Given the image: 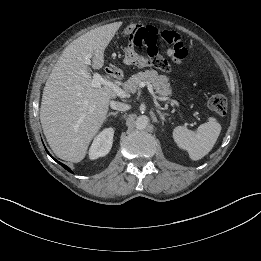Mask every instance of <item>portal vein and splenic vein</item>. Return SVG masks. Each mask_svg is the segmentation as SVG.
Returning <instances> with one entry per match:
<instances>
[{
  "label": "portal vein and splenic vein",
  "instance_id": "1",
  "mask_svg": "<svg viewBox=\"0 0 261 261\" xmlns=\"http://www.w3.org/2000/svg\"><path fill=\"white\" fill-rule=\"evenodd\" d=\"M91 54H88L86 57H85V63L87 65H90L91 64ZM91 85L92 87L94 88H99L101 87V85H105V86H108L117 96L121 97V98H126L128 97V94L123 90L121 89L120 87H118L116 84H114L113 82L103 78L99 73H94L93 74V79H92V82H91ZM147 86L148 87V90L149 92L151 93V95L153 96L154 99H159V100H162V101H165L167 100L168 98L166 97H158L155 95V92L153 91V88H152V85L148 82H141L140 83V87H144V86Z\"/></svg>",
  "mask_w": 261,
  "mask_h": 261
}]
</instances>
